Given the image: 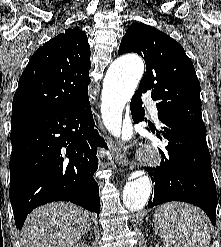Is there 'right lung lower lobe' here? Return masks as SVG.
<instances>
[{"instance_id":"right-lung-lower-lobe-1","label":"right lung lower lobe","mask_w":221,"mask_h":247,"mask_svg":"<svg viewBox=\"0 0 221 247\" xmlns=\"http://www.w3.org/2000/svg\"><path fill=\"white\" fill-rule=\"evenodd\" d=\"M9 197L17 229L36 207L70 201L99 216L97 147L89 98L58 112L13 120Z\"/></svg>"}]
</instances>
